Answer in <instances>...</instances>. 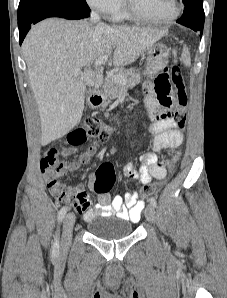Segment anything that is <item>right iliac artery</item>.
<instances>
[{
    "mask_svg": "<svg viewBox=\"0 0 227 298\" xmlns=\"http://www.w3.org/2000/svg\"><path fill=\"white\" fill-rule=\"evenodd\" d=\"M66 212H67V207H62L61 210L58 213V223H60L63 220V218L66 215ZM52 252H53V255H58V253H59L58 231L56 232L55 237H54V243H53V250H52Z\"/></svg>",
    "mask_w": 227,
    "mask_h": 298,
    "instance_id": "1",
    "label": "right iliac artery"
}]
</instances>
